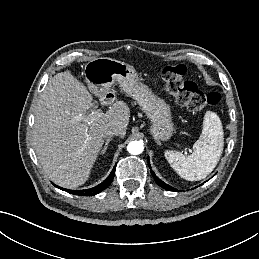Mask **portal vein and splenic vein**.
Listing matches in <instances>:
<instances>
[{"instance_id":"1","label":"portal vein and splenic vein","mask_w":259,"mask_h":259,"mask_svg":"<svg viewBox=\"0 0 259 259\" xmlns=\"http://www.w3.org/2000/svg\"><path fill=\"white\" fill-rule=\"evenodd\" d=\"M102 113L100 111H95V112H92L91 114L87 115V116H83L81 117V120H83L84 122L86 123H90L94 120V118L96 116H100Z\"/></svg>"}]
</instances>
